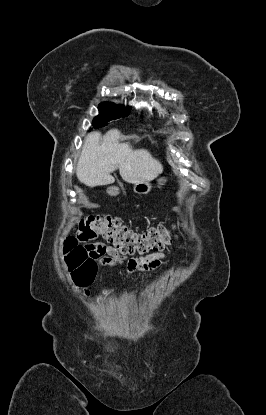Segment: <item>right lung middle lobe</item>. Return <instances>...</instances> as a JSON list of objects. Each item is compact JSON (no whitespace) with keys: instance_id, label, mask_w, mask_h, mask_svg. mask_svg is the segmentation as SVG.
<instances>
[{"instance_id":"1","label":"right lung middle lobe","mask_w":266,"mask_h":415,"mask_svg":"<svg viewBox=\"0 0 266 415\" xmlns=\"http://www.w3.org/2000/svg\"><path fill=\"white\" fill-rule=\"evenodd\" d=\"M98 109L99 115L96 116L92 122V125H94L95 128L103 127L111 120L128 116L131 108H120L113 103L104 102L99 105Z\"/></svg>"}]
</instances>
